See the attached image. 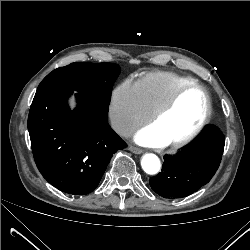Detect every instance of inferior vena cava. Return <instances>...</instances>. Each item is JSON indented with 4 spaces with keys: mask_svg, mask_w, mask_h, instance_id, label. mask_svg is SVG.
Masks as SVG:
<instances>
[{
    "mask_svg": "<svg viewBox=\"0 0 250 250\" xmlns=\"http://www.w3.org/2000/svg\"><path fill=\"white\" fill-rule=\"evenodd\" d=\"M111 126L113 130L121 136L128 137V136H131L133 133V129L131 125L128 122H125L123 120L112 119Z\"/></svg>",
    "mask_w": 250,
    "mask_h": 250,
    "instance_id": "inferior-vena-cava-1",
    "label": "inferior vena cava"
}]
</instances>
